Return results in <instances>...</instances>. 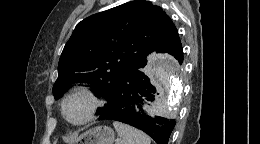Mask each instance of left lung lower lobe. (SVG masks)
<instances>
[{
	"mask_svg": "<svg viewBox=\"0 0 260 144\" xmlns=\"http://www.w3.org/2000/svg\"><path fill=\"white\" fill-rule=\"evenodd\" d=\"M159 53H168L182 64L183 49L179 35L163 46ZM145 65L146 61L135 63L125 72L115 88L111 104L101 113L99 120L129 124L147 133L157 144H168L175 120L155 116L151 112L150 106L159 100V93L142 72Z\"/></svg>",
	"mask_w": 260,
	"mask_h": 144,
	"instance_id": "0a47b994",
	"label": "left lung lower lobe"
}]
</instances>
